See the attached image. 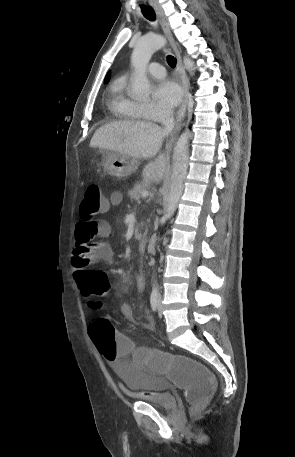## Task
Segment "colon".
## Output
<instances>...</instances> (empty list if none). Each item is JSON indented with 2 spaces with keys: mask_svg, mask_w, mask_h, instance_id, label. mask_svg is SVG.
<instances>
[{
  "mask_svg": "<svg viewBox=\"0 0 295 457\" xmlns=\"http://www.w3.org/2000/svg\"><path fill=\"white\" fill-rule=\"evenodd\" d=\"M108 202L97 184H90L85 189L84 198L79 207L82 221H91L108 210ZM88 248L76 250L79 256L75 265L86 264L84 256ZM103 293H110V274L102 270L87 271V287L84 296L91 309L99 307L98 298ZM89 334L94 342L97 355H104L105 360L113 363L132 362L141 366L142 372H163L169 383H176L177 390H185V397L193 407H199L217 389L214 374L204 369L203 363L189 361L188 357H179L178 351H163L162 346H135L129 341L127 330H115L112 323L105 318L92 322ZM163 360V363H162Z\"/></svg>",
  "mask_w": 295,
  "mask_h": 457,
  "instance_id": "1",
  "label": "colon"
}]
</instances>
